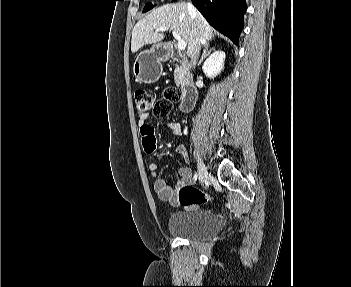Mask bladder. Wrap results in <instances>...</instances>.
Here are the masks:
<instances>
[{
    "label": "bladder",
    "mask_w": 351,
    "mask_h": 287,
    "mask_svg": "<svg viewBox=\"0 0 351 287\" xmlns=\"http://www.w3.org/2000/svg\"><path fill=\"white\" fill-rule=\"evenodd\" d=\"M167 228L177 237L203 240L219 231L220 221L211 210L175 211L169 216Z\"/></svg>",
    "instance_id": "1"
}]
</instances>
